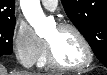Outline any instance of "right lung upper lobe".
Here are the masks:
<instances>
[{
  "label": "right lung upper lobe",
  "instance_id": "right-lung-upper-lobe-1",
  "mask_svg": "<svg viewBox=\"0 0 107 75\" xmlns=\"http://www.w3.org/2000/svg\"><path fill=\"white\" fill-rule=\"evenodd\" d=\"M14 10V0H0V21L15 19Z\"/></svg>",
  "mask_w": 107,
  "mask_h": 75
}]
</instances>
